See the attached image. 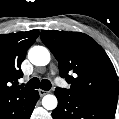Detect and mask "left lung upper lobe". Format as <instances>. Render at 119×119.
<instances>
[{
    "label": "left lung upper lobe",
    "mask_w": 119,
    "mask_h": 119,
    "mask_svg": "<svg viewBox=\"0 0 119 119\" xmlns=\"http://www.w3.org/2000/svg\"><path fill=\"white\" fill-rule=\"evenodd\" d=\"M41 40L58 61L59 73L70 89L55 90L109 106H117L118 78L103 48L80 32L43 30Z\"/></svg>",
    "instance_id": "left-lung-upper-lobe-1"
}]
</instances>
